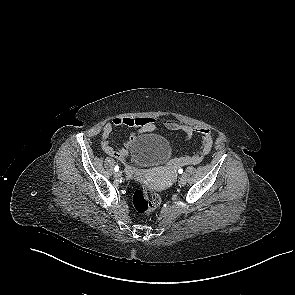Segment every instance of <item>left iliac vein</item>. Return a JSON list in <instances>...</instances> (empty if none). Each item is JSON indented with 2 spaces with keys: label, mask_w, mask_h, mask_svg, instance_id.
Returning a JSON list of instances; mask_svg holds the SVG:
<instances>
[{
  "label": "left iliac vein",
  "mask_w": 295,
  "mask_h": 295,
  "mask_svg": "<svg viewBox=\"0 0 295 295\" xmlns=\"http://www.w3.org/2000/svg\"><path fill=\"white\" fill-rule=\"evenodd\" d=\"M186 182H187L186 177L185 176H181L180 179H179V184L183 186V185L186 184Z\"/></svg>",
  "instance_id": "obj_1"
}]
</instances>
